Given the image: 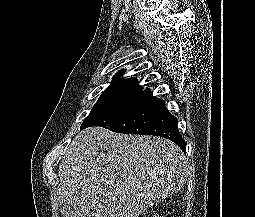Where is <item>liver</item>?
I'll use <instances>...</instances> for the list:
<instances>
[{
	"label": "liver",
	"mask_w": 255,
	"mask_h": 217,
	"mask_svg": "<svg viewBox=\"0 0 255 217\" xmlns=\"http://www.w3.org/2000/svg\"><path fill=\"white\" fill-rule=\"evenodd\" d=\"M58 174L63 217H138L180 190L188 170L184 153L168 139L92 127L66 148Z\"/></svg>",
	"instance_id": "obj_1"
}]
</instances>
